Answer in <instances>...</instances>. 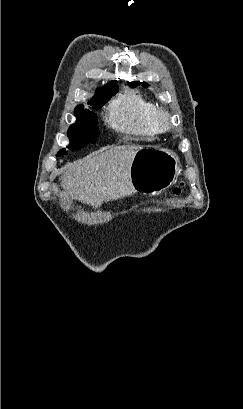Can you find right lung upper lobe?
I'll use <instances>...</instances> for the list:
<instances>
[{
  "mask_svg": "<svg viewBox=\"0 0 243 409\" xmlns=\"http://www.w3.org/2000/svg\"><path fill=\"white\" fill-rule=\"evenodd\" d=\"M117 91V86H116V81H111L109 82L107 85L104 86V89H97L96 91V95L91 99V101L89 102L90 105H95L98 102H100L101 100H103V98L110 93H113ZM79 109H83L82 105H79L76 107V110Z\"/></svg>",
  "mask_w": 243,
  "mask_h": 409,
  "instance_id": "obj_1",
  "label": "right lung upper lobe"
}]
</instances>
